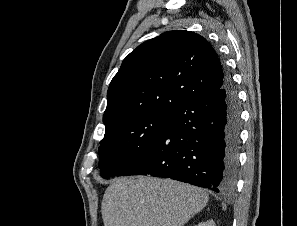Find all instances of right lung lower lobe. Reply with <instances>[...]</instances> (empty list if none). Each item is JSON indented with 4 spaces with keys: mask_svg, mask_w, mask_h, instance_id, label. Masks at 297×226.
Listing matches in <instances>:
<instances>
[{
    "mask_svg": "<svg viewBox=\"0 0 297 226\" xmlns=\"http://www.w3.org/2000/svg\"><path fill=\"white\" fill-rule=\"evenodd\" d=\"M241 109L231 76L175 110L171 123L116 176L151 175L231 191L238 173Z\"/></svg>",
    "mask_w": 297,
    "mask_h": 226,
    "instance_id": "right-lung-lower-lobe-1",
    "label": "right lung lower lobe"
}]
</instances>
